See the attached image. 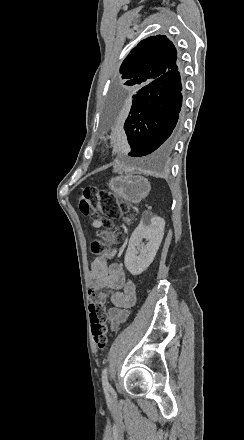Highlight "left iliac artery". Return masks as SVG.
Instances as JSON below:
<instances>
[{
	"mask_svg": "<svg viewBox=\"0 0 244 440\" xmlns=\"http://www.w3.org/2000/svg\"><path fill=\"white\" fill-rule=\"evenodd\" d=\"M102 386L104 391H109L111 389V386L108 382V369L106 367L102 371Z\"/></svg>",
	"mask_w": 244,
	"mask_h": 440,
	"instance_id": "obj_1",
	"label": "left iliac artery"
}]
</instances>
